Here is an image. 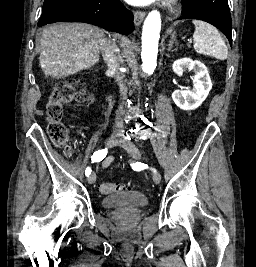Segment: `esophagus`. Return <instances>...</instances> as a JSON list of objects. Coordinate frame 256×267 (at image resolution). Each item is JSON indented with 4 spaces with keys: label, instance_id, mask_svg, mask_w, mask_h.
Listing matches in <instances>:
<instances>
[{
    "label": "esophagus",
    "instance_id": "esophagus-1",
    "mask_svg": "<svg viewBox=\"0 0 256 267\" xmlns=\"http://www.w3.org/2000/svg\"><path fill=\"white\" fill-rule=\"evenodd\" d=\"M145 12L144 11H136L134 12V23L135 25H140L141 22L144 20L145 17Z\"/></svg>",
    "mask_w": 256,
    "mask_h": 267
}]
</instances>
